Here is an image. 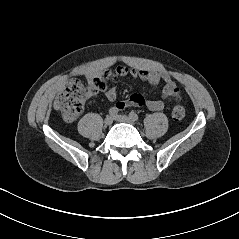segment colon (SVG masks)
<instances>
[{
    "label": "colon",
    "instance_id": "colon-1",
    "mask_svg": "<svg viewBox=\"0 0 239 239\" xmlns=\"http://www.w3.org/2000/svg\"><path fill=\"white\" fill-rule=\"evenodd\" d=\"M99 90L105 87V80L96 81ZM90 94V87H87L81 80L71 78L67 81L64 90L58 95L55 101V109L59 111L63 119L67 122L77 120L84 106V101ZM172 116L176 120H181L185 116V107L177 104L172 111Z\"/></svg>",
    "mask_w": 239,
    "mask_h": 239
}]
</instances>
